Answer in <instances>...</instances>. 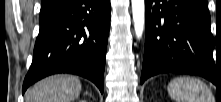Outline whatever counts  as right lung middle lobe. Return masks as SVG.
Listing matches in <instances>:
<instances>
[{
	"label": "right lung middle lobe",
	"instance_id": "obj_1",
	"mask_svg": "<svg viewBox=\"0 0 221 102\" xmlns=\"http://www.w3.org/2000/svg\"><path fill=\"white\" fill-rule=\"evenodd\" d=\"M45 13H47V12H40V16H42V15L45 14Z\"/></svg>",
	"mask_w": 221,
	"mask_h": 102
}]
</instances>
